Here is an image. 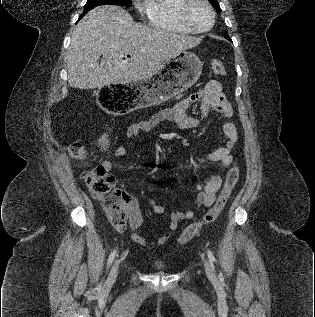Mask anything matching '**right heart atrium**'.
Instances as JSON below:
<instances>
[{
  "instance_id": "1",
  "label": "right heart atrium",
  "mask_w": 315,
  "mask_h": 317,
  "mask_svg": "<svg viewBox=\"0 0 315 317\" xmlns=\"http://www.w3.org/2000/svg\"><path fill=\"white\" fill-rule=\"evenodd\" d=\"M149 0H135L136 7L140 11H145L148 6Z\"/></svg>"
}]
</instances>
